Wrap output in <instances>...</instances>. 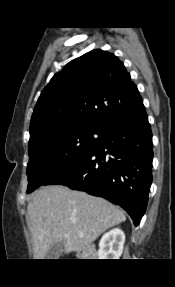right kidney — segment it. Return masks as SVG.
<instances>
[{
    "mask_svg": "<svg viewBox=\"0 0 175 287\" xmlns=\"http://www.w3.org/2000/svg\"><path fill=\"white\" fill-rule=\"evenodd\" d=\"M125 234L115 228L105 233L99 243V259H119L123 252Z\"/></svg>",
    "mask_w": 175,
    "mask_h": 287,
    "instance_id": "ca27d5eb",
    "label": "right kidney"
}]
</instances>
